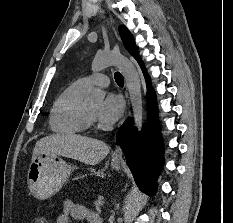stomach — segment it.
Wrapping results in <instances>:
<instances>
[{
    "instance_id": "obj_1",
    "label": "stomach",
    "mask_w": 233,
    "mask_h": 223,
    "mask_svg": "<svg viewBox=\"0 0 233 223\" xmlns=\"http://www.w3.org/2000/svg\"><path fill=\"white\" fill-rule=\"evenodd\" d=\"M112 167L119 169L120 159H112ZM77 165L67 163L56 153H39L31 161L27 173L28 189L36 199H49L60 191Z\"/></svg>"
}]
</instances>
